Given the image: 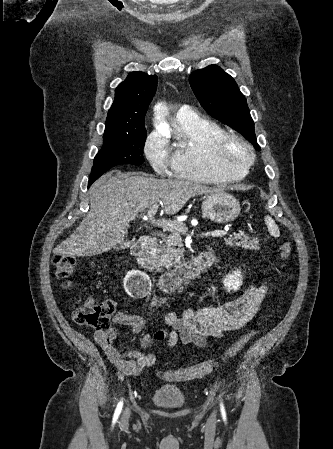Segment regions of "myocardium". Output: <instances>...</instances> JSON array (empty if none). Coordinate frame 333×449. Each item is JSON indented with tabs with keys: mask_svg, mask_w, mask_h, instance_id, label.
<instances>
[{
	"mask_svg": "<svg viewBox=\"0 0 333 449\" xmlns=\"http://www.w3.org/2000/svg\"><path fill=\"white\" fill-rule=\"evenodd\" d=\"M214 168L223 174L241 175L248 173L256 161L253 146L244 138L225 133L211 146Z\"/></svg>",
	"mask_w": 333,
	"mask_h": 449,
	"instance_id": "f54148a6",
	"label": "myocardium"
}]
</instances>
